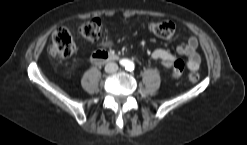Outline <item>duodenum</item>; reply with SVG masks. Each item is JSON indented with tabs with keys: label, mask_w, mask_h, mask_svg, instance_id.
<instances>
[{
	"label": "duodenum",
	"mask_w": 247,
	"mask_h": 145,
	"mask_svg": "<svg viewBox=\"0 0 247 145\" xmlns=\"http://www.w3.org/2000/svg\"><path fill=\"white\" fill-rule=\"evenodd\" d=\"M119 59V56L115 53H111L108 51H97L93 53L91 56V60L95 64H102L106 62H111V61H117Z\"/></svg>",
	"instance_id": "1"
}]
</instances>
